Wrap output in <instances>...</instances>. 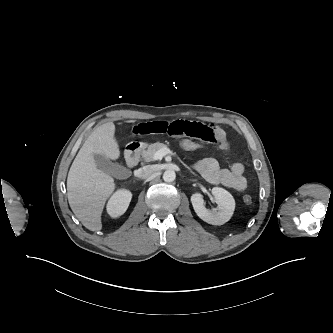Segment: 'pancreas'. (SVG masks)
Segmentation results:
<instances>
[{
  "mask_svg": "<svg viewBox=\"0 0 333 333\" xmlns=\"http://www.w3.org/2000/svg\"><path fill=\"white\" fill-rule=\"evenodd\" d=\"M162 148H168L166 144L164 143H153L147 146V149L142 150L141 156L145 161H153V156L156 151L162 149Z\"/></svg>",
  "mask_w": 333,
  "mask_h": 333,
  "instance_id": "1",
  "label": "pancreas"
}]
</instances>
